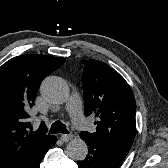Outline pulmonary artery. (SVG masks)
Masks as SVG:
<instances>
[{
	"label": "pulmonary artery",
	"mask_w": 168,
	"mask_h": 168,
	"mask_svg": "<svg viewBox=\"0 0 168 168\" xmlns=\"http://www.w3.org/2000/svg\"><path fill=\"white\" fill-rule=\"evenodd\" d=\"M66 109L75 127L84 129L87 123L83 116L82 99L78 93H73L70 96Z\"/></svg>",
	"instance_id": "obj_1"
}]
</instances>
